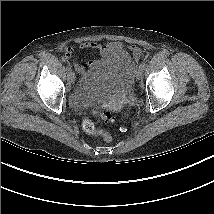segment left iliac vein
<instances>
[{
    "label": "left iliac vein",
    "instance_id": "obj_1",
    "mask_svg": "<svg viewBox=\"0 0 214 214\" xmlns=\"http://www.w3.org/2000/svg\"><path fill=\"white\" fill-rule=\"evenodd\" d=\"M142 75H143V69H137L136 72H135V77L136 79L140 80L142 78Z\"/></svg>",
    "mask_w": 214,
    "mask_h": 214
}]
</instances>
